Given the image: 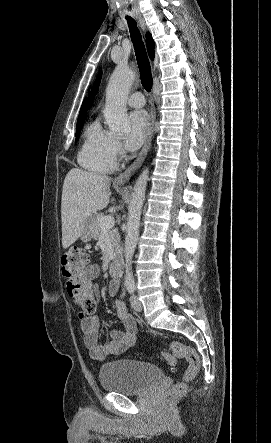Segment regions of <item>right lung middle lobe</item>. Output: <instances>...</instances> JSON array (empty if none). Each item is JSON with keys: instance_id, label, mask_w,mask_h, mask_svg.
Segmentation results:
<instances>
[{"instance_id": "1", "label": "right lung middle lobe", "mask_w": 271, "mask_h": 443, "mask_svg": "<svg viewBox=\"0 0 271 443\" xmlns=\"http://www.w3.org/2000/svg\"><path fill=\"white\" fill-rule=\"evenodd\" d=\"M84 120H85V119H81V120H78V121H77V127H76V140L78 139V136H79V134H80L81 128H82L83 123H84Z\"/></svg>"}]
</instances>
